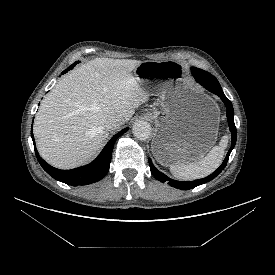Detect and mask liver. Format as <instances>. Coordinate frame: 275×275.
Here are the masks:
<instances>
[{
  "label": "liver",
  "instance_id": "obj_1",
  "mask_svg": "<svg viewBox=\"0 0 275 275\" xmlns=\"http://www.w3.org/2000/svg\"><path fill=\"white\" fill-rule=\"evenodd\" d=\"M137 60L95 58L61 79L44 98L34 122L41 157L72 169L92 160L109 136L107 120L127 122L148 100L132 71Z\"/></svg>",
  "mask_w": 275,
  "mask_h": 275
}]
</instances>
